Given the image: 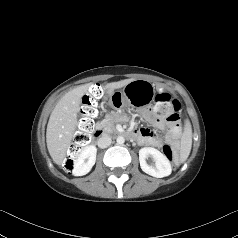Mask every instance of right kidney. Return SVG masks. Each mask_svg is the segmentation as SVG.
Masks as SVG:
<instances>
[{"mask_svg":"<svg viewBox=\"0 0 238 238\" xmlns=\"http://www.w3.org/2000/svg\"><path fill=\"white\" fill-rule=\"evenodd\" d=\"M97 149L93 145L86 146L75 160L73 174L86 175L96 162Z\"/></svg>","mask_w":238,"mask_h":238,"instance_id":"right-kidney-1","label":"right kidney"}]
</instances>
